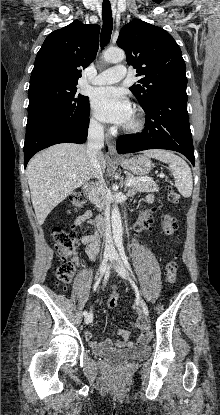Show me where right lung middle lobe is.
<instances>
[{"mask_svg": "<svg viewBox=\"0 0 220 415\" xmlns=\"http://www.w3.org/2000/svg\"><path fill=\"white\" fill-rule=\"evenodd\" d=\"M77 84L55 78L30 80L26 128L55 116L72 122L81 119L89 108V98L77 94Z\"/></svg>", "mask_w": 220, "mask_h": 415, "instance_id": "1", "label": "right lung middle lobe"}]
</instances>
